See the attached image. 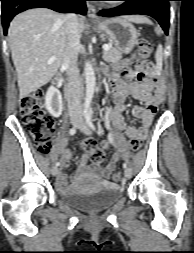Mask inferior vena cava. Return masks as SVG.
<instances>
[{"label": "inferior vena cava", "mask_w": 194, "mask_h": 253, "mask_svg": "<svg viewBox=\"0 0 194 253\" xmlns=\"http://www.w3.org/2000/svg\"><path fill=\"white\" fill-rule=\"evenodd\" d=\"M65 29L68 37V48L64 55V65L67 67V103L68 112L71 119L82 118L81 97L83 87L80 72L77 66L78 47L80 44V34L78 28V17L74 13L64 16Z\"/></svg>", "instance_id": "inferior-vena-cava-1"}]
</instances>
